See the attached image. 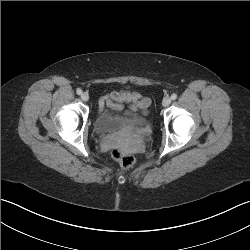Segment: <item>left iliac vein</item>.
Masks as SVG:
<instances>
[{
  "instance_id": "4c4485c4",
  "label": "left iliac vein",
  "mask_w": 250,
  "mask_h": 250,
  "mask_svg": "<svg viewBox=\"0 0 250 250\" xmlns=\"http://www.w3.org/2000/svg\"><path fill=\"white\" fill-rule=\"evenodd\" d=\"M170 103H171V98L169 96H166V97L163 98L162 104H163L164 107L169 106Z\"/></svg>"
}]
</instances>
